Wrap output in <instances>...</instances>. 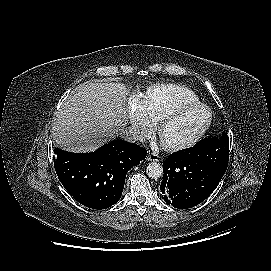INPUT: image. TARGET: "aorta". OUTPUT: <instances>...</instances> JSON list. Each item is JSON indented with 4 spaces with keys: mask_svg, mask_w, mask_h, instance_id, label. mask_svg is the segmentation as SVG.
<instances>
[{
    "mask_svg": "<svg viewBox=\"0 0 271 271\" xmlns=\"http://www.w3.org/2000/svg\"><path fill=\"white\" fill-rule=\"evenodd\" d=\"M146 173L150 178L158 179L163 174V168L159 163L151 162L147 165Z\"/></svg>",
    "mask_w": 271,
    "mask_h": 271,
    "instance_id": "1",
    "label": "aorta"
}]
</instances>
